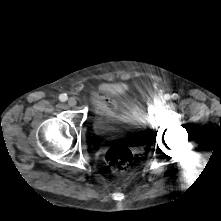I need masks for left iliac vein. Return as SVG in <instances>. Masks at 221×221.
I'll use <instances>...</instances> for the list:
<instances>
[{
    "mask_svg": "<svg viewBox=\"0 0 221 221\" xmlns=\"http://www.w3.org/2000/svg\"><path fill=\"white\" fill-rule=\"evenodd\" d=\"M164 102H165V99L162 98V99H159V100L157 101V104H158V105H162V104H164Z\"/></svg>",
    "mask_w": 221,
    "mask_h": 221,
    "instance_id": "obj_1",
    "label": "left iliac vein"
}]
</instances>
